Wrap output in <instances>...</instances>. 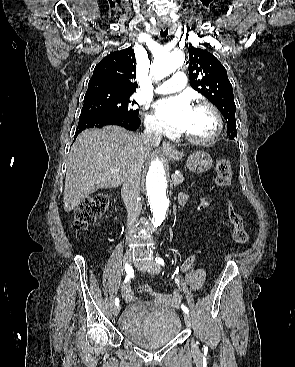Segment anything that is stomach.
Instances as JSON below:
<instances>
[{"mask_svg":"<svg viewBox=\"0 0 295 367\" xmlns=\"http://www.w3.org/2000/svg\"><path fill=\"white\" fill-rule=\"evenodd\" d=\"M169 157L174 160H182L184 158L183 152L173 151ZM213 160L211 156L204 151H196L186 158V167L193 173H203L211 168Z\"/></svg>","mask_w":295,"mask_h":367,"instance_id":"0dacf381","label":"stomach"}]
</instances>
